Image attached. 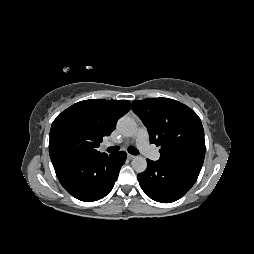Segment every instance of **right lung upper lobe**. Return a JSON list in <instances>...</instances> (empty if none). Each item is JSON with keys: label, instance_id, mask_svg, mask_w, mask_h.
<instances>
[{"label": "right lung upper lobe", "instance_id": "obj_1", "mask_svg": "<svg viewBox=\"0 0 254 254\" xmlns=\"http://www.w3.org/2000/svg\"><path fill=\"white\" fill-rule=\"evenodd\" d=\"M127 100H84L64 110L53 121L49 153L52 161L64 157H97L103 137L115 129L119 118L130 110Z\"/></svg>", "mask_w": 254, "mask_h": 254}]
</instances>
